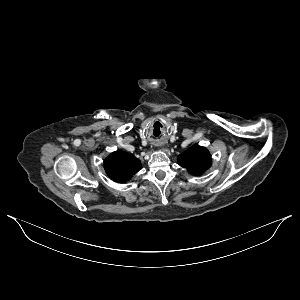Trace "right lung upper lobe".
<instances>
[{"mask_svg":"<svg viewBox=\"0 0 300 300\" xmlns=\"http://www.w3.org/2000/svg\"><path fill=\"white\" fill-rule=\"evenodd\" d=\"M104 168L112 180L124 183L136 174L142 165L137 158L118 150L105 159Z\"/></svg>","mask_w":300,"mask_h":300,"instance_id":"obj_1","label":"right lung upper lobe"}]
</instances>
